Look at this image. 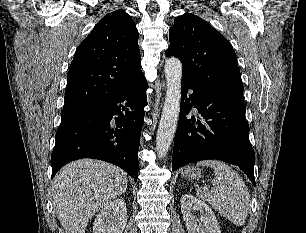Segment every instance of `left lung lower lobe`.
Masks as SVG:
<instances>
[{"label": "left lung lower lobe", "mask_w": 306, "mask_h": 233, "mask_svg": "<svg viewBox=\"0 0 306 233\" xmlns=\"http://www.w3.org/2000/svg\"><path fill=\"white\" fill-rule=\"evenodd\" d=\"M188 89L193 94L184 102ZM181 92V121L174 140L172 170L199 160L217 159L240 167L255 185V154L243 97L203 90L183 79ZM193 105L205 120H197L198 127L193 126L195 119L186 118Z\"/></svg>", "instance_id": "0a47b994"}]
</instances>
